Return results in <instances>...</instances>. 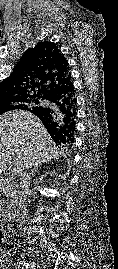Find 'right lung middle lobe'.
<instances>
[{
	"instance_id": "dd1d6c3e",
	"label": "right lung middle lobe",
	"mask_w": 118,
	"mask_h": 269,
	"mask_svg": "<svg viewBox=\"0 0 118 269\" xmlns=\"http://www.w3.org/2000/svg\"><path fill=\"white\" fill-rule=\"evenodd\" d=\"M33 105L32 100H23L18 102H8L0 104V115L11 110L22 109L26 110Z\"/></svg>"
}]
</instances>
